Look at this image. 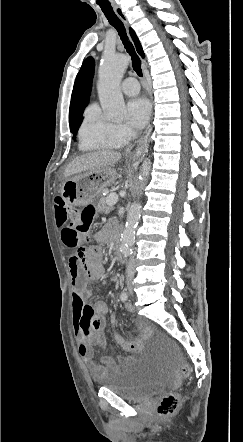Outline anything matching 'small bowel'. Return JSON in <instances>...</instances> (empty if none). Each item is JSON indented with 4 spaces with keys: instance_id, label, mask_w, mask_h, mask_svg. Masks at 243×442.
<instances>
[{
    "instance_id": "obj_1",
    "label": "small bowel",
    "mask_w": 243,
    "mask_h": 442,
    "mask_svg": "<svg viewBox=\"0 0 243 442\" xmlns=\"http://www.w3.org/2000/svg\"><path fill=\"white\" fill-rule=\"evenodd\" d=\"M114 229L113 224H106L95 233L98 242L107 240ZM69 272L73 287V328L78 341V353L92 378L101 379L112 372L125 356L99 355L105 348L104 328L108 304L103 300L88 303V281L99 280L104 276L103 250L100 246H91L83 250L79 259L70 258ZM126 309L132 310L129 304ZM114 324V319L111 320ZM142 331L136 340L128 341L120 334H114L115 342L127 353L139 351L151 332L150 327L138 322Z\"/></svg>"
}]
</instances>
